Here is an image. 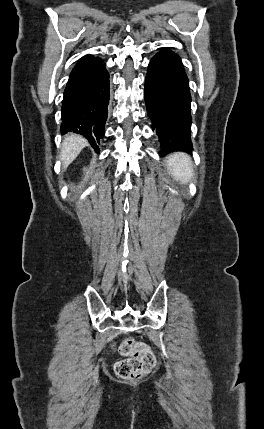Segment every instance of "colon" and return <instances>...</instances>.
Masks as SVG:
<instances>
[{"instance_id": "colon-1", "label": "colon", "mask_w": 264, "mask_h": 429, "mask_svg": "<svg viewBox=\"0 0 264 429\" xmlns=\"http://www.w3.org/2000/svg\"><path fill=\"white\" fill-rule=\"evenodd\" d=\"M119 352L127 357L115 365V373L120 379H139L149 373L156 364V358L149 346L132 338L122 341Z\"/></svg>"}]
</instances>
